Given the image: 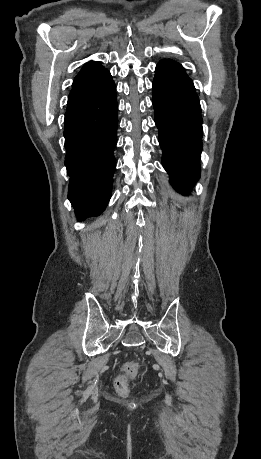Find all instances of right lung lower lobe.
<instances>
[{
  "label": "right lung lower lobe",
  "instance_id": "98d812e1",
  "mask_svg": "<svg viewBox=\"0 0 261 459\" xmlns=\"http://www.w3.org/2000/svg\"><path fill=\"white\" fill-rule=\"evenodd\" d=\"M117 125L114 81L66 110L64 137L65 165L70 176L68 199L78 220L100 215L110 200Z\"/></svg>",
  "mask_w": 261,
  "mask_h": 459
}]
</instances>
